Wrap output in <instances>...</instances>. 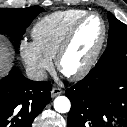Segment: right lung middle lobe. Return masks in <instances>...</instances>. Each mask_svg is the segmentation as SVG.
Wrapping results in <instances>:
<instances>
[{"label":"right lung middle lobe","instance_id":"right-lung-middle-lobe-1","mask_svg":"<svg viewBox=\"0 0 127 127\" xmlns=\"http://www.w3.org/2000/svg\"><path fill=\"white\" fill-rule=\"evenodd\" d=\"M43 11L40 6L0 8V33L8 34L13 40L19 41L32 20Z\"/></svg>","mask_w":127,"mask_h":127}]
</instances>
